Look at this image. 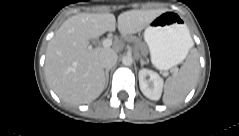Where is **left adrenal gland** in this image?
<instances>
[{
	"instance_id": "1",
	"label": "left adrenal gland",
	"mask_w": 239,
	"mask_h": 136,
	"mask_svg": "<svg viewBox=\"0 0 239 136\" xmlns=\"http://www.w3.org/2000/svg\"><path fill=\"white\" fill-rule=\"evenodd\" d=\"M140 63H141V66H143L145 64L143 59L140 60Z\"/></svg>"
}]
</instances>
